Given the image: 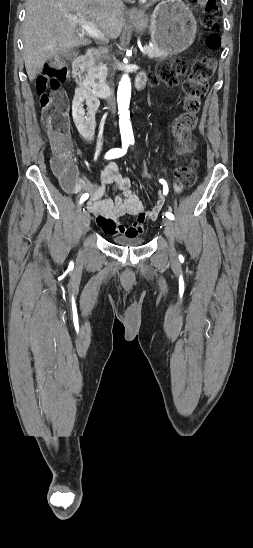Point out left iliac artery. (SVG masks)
<instances>
[{"label":"left iliac artery","instance_id":"obj_1","mask_svg":"<svg viewBox=\"0 0 253 548\" xmlns=\"http://www.w3.org/2000/svg\"><path fill=\"white\" fill-rule=\"evenodd\" d=\"M131 144H134V140H131L130 141ZM159 182L164 186V194H167L168 193V187H167V183L164 179H160ZM166 217L170 220H174V215L171 213V212H166L165 213Z\"/></svg>","mask_w":253,"mask_h":548}]
</instances>
